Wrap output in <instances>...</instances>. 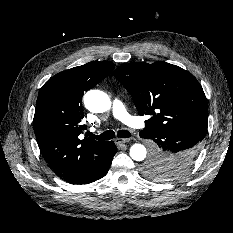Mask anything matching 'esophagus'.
Segmentation results:
<instances>
[{"mask_svg": "<svg viewBox=\"0 0 233 233\" xmlns=\"http://www.w3.org/2000/svg\"><path fill=\"white\" fill-rule=\"evenodd\" d=\"M130 140H131L130 138H117V139L115 140V143H116L117 145H121V144H124V143L129 142Z\"/></svg>", "mask_w": 233, "mask_h": 233, "instance_id": "34e87169", "label": "esophagus"}]
</instances>
